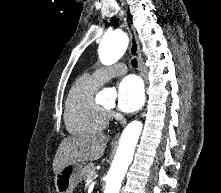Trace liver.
I'll return each instance as SVG.
<instances>
[{"instance_id": "obj_1", "label": "liver", "mask_w": 221, "mask_h": 193, "mask_svg": "<svg viewBox=\"0 0 221 193\" xmlns=\"http://www.w3.org/2000/svg\"><path fill=\"white\" fill-rule=\"evenodd\" d=\"M109 136L104 134L75 135L62 140L53 160L56 174L66 165L98 160L104 155Z\"/></svg>"}]
</instances>
